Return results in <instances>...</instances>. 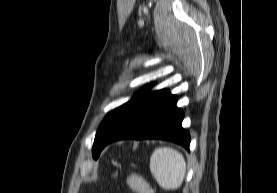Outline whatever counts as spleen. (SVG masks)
I'll return each instance as SVG.
<instances>
[{"label": "spleen", "instance_id": "obj_1", "mask_svg": "<svg viewBox=\"0 0 277 193\" xmlns=\"http://www.w3.org/2000/svg\"><path fill=\"white\" fill-rule=\"evenodd\" d=\"M150 171L161 188L176 190L186 173L184 156L170 147L157 148L150 158Z\"/></svg>", "mask_w": 277, "mask_h": 193}]
</instances>
